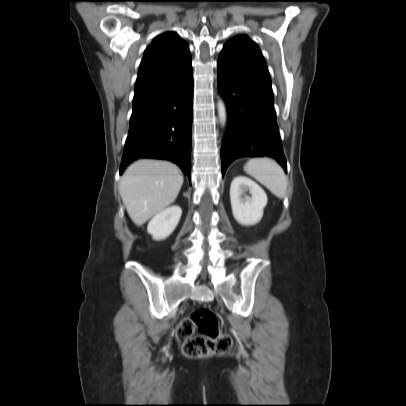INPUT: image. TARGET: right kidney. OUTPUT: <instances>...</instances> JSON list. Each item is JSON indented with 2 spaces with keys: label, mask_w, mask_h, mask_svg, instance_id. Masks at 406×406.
<instances>
[{
  "label": "right kidney",
  "mask_w": 406,
  "mask_h": 406,
  "mask_svg": "<svg viewBox=\"0 0 406 406\" xmlns=\"http://www.w3.org/2000/svg\"><path fill=\"white\" fill-rule=\"evenodd\" d=\"M182 215L179 206L174 205L156 214L149 222L147 231L155 240L167 238L176 228Z\"/></svg>",
  "instance_id": "obj_1"
}]
</instances>
